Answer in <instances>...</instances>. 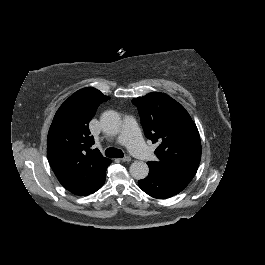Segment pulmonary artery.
I'll list each match as a JSON object with an SVG mask.
<instances>
[{"label": "pulmonary artery", "mask_w": 265, "mask_h": 265, "mask_svg": "<svg viewBox=\"0 0 265 265\" xmlns=\"http://www.w3.org/2000/svg\"><path fill=\"white\" fill-rule=\"evenodd\" d=\"M124 126L125 130L120 131L118 135L114 134L110 136L108 140L114 145L128 143L129 151L135 154L140 162H149L151 159V153L141 140L139 126L136 119L133 117L126 118Z\"/></svg>", "instance_id": "1"}]
</instances>
